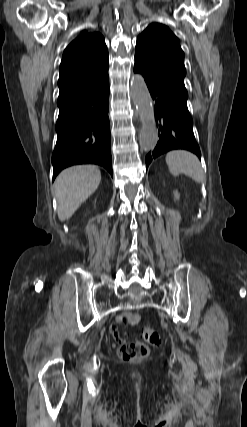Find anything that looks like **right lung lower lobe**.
I'll use <instances>...</instances> for the list:
<instances>
[{
  "label": "right lung lower lobe",
  "instance_id": "obj_1",
  "mask_svg": "<svg viewBox=\"0 0 247 427\" xmlns=\"http://www.w3.org/2000/svg\"><path fill=\"white\" fill-rule=\"evenodd\" d=\"M57 142L52 154L53 179L75 164H98L112 175L109 78L59 95Z\"/></svg>",
  "mask_w": 247,
  "mask_h": 427
}]
</instances>
